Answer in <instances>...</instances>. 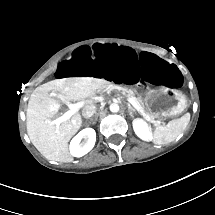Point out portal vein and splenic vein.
<instances>
[{
	"instance_id": "obj_1",
	"label": "portal vein and splenic vein",
	"mask_w": 215,
	"mask_h": 215,
	"mask_svg": "<svg viewBox=\"0 0 215 215\" xmlns=\"http://www.w3.org/2000/svg\"><path fill=\"white\" fill-rule=\"evenodd\" d=\"M128 102L137 107V103L135 101V99L133 98H128ZM82 106L81 103H75V104H70L69 105V110L67 112H65L63 115H61L60 117H58L55 120H51L50 123L51 124H55L56 126H59L62 122L67 121L68 119H70V117L75 114L76 112H78L79 108Z\"/></svg>"
}]
</instances>
